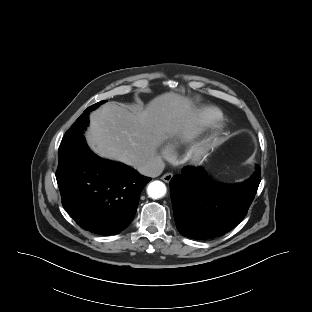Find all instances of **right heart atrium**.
<instances>
[{
    "instance_id": "1",
    "label": "right heart atrium",
    "mask_w": 312,
    "mask_h": 312,
    "mask_svg": "<svg viewBox=\"0 0 312 312\" xmlns=\"http://www.w3.org/2000/svg\"><path fill=\"white\" fill-rule=\"evenodd\" d=\"M161 154L163 156H166L168 154V148L167 147H163L162 150H161Z\"/></svg>"
}]
</instances>
